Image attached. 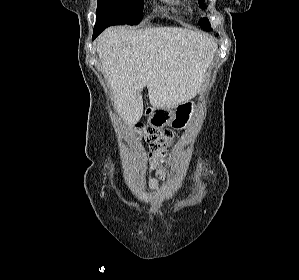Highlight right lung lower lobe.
Returning a JSON list of instances; mask_svg holds the SVG:
<instances>
[{"instance_id": "obj_1", "label": "right lung lower lobe", "mask_w": 299, "mask_h": 280, "mask_svg": "<svg viewBox=\"0 0 299 280\" xmlns=\"http://www.w3.org/2000/svg\"><path fill=\"white\" fill-rule=\"evenodd\" d=\"M119 22L112 16L98 14L96 15V24L94 26L92 40H94L104 29L109 26L119 25Z\"/></svg>"}]
</instances>
